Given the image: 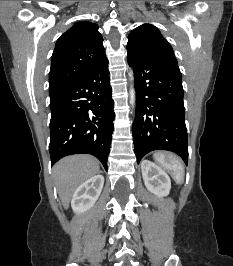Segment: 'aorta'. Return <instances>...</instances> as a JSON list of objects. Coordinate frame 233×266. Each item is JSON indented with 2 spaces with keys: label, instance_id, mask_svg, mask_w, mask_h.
<instances>
[{
  "label": "aorta",
  "instance_id": "1",
  "mask_svg": "<svg viewBox=\"0 0 233 266\" xmlns=\"http://www.w3.org/2000/svg\"><path fill=\"white\" fill-rule=\"evenodd\" d=\"M130 77H131V81H133L132 71L130 72ZM130 96H131V104L134 105V103H135V90L133 88V85L131 86V89H130Z\"/></svg>",
  "mask_w": 233,
  "mask_h": 266
}]
</instances>
